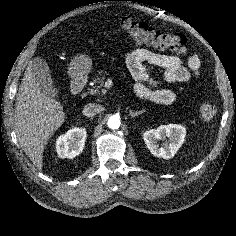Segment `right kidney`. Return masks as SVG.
Returning a JSON list of instances; mask_svg holds the SVG:
<instances>
[{
  "instance_id": "ca27d5eb",
  "label": "right kidney",
  "mask_w": 236,
  "mask_h": 236,
  "mask_svg": "<svg viewBox=\"0 0 236 236\" xmlns=\"http://www.w3.org/2000/svg\"><path fill=\"white\" fill-rule=\"evenodd\" d=\"M87 132L85 128H72L56 140V152L61 158L72 159L79 155L85 145Z\"/></svg>"
}]
</instances>
